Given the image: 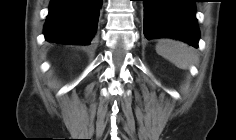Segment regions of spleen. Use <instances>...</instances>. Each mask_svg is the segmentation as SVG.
Returning a JSON list of instances; mask_svg holds the SVG:
<instances>
[{"mask_svg": "<svg viewBox=\"0 0 236 140\" xmlns=\"http://www.w3.org/2000/svg\"><path fill=\"white\" fill-rule=\"evenodd\" d=\"M156 51L180 69H188L198 60L194 50L180 41L160 40L156 45Z\"/></svg>", "mask_w": 236, "mask_h": 140, "instance_id": "spleen-1", "label": "spleen"}]
</instances>
